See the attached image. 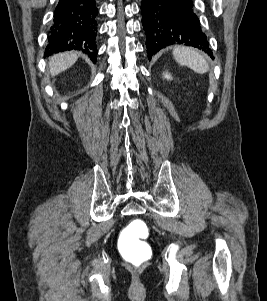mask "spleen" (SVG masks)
Here are the masks:
<instances>
[{"label": "spleen", "instance_id": "obj_1", "mask_svg": "<svg viewBox=\"0 0 267 301\" xmlns=\"http://www.w3.org/2000/svg\"><path fill=\"white\" fill-rule=\"evenodd\" d=\"M174 59L180 64L189 67L199 74H204L209 70L205 58L197 51L189 47H176L173 50Z\"/></svg>", "mask_w": 267, "mask_h": 301}]
</instances>
